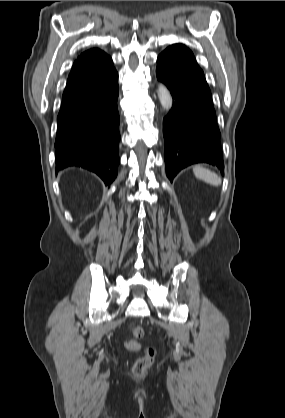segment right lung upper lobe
Segmentation results:
<instances>
[{"mask_svg":"<svg viewBox=\"0 0 285 418\" xmlns=\"http://www.w3.org/2000/svg\"><path fill=\"white\" fill-rule=\"evenodd\" d=\"M114 69L111 57L104 51L92 48L83 52L73 64L62 98L96 83Z\"/></svg>","mask_w":285,"mask_h":418,"instance_id":"obj_1","label":"right lung upper lobe"}]
</instances>
